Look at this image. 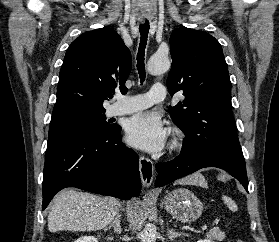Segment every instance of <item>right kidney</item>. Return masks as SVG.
<instances>
[{
	"label": "right kidney",
	"mask_w": 279,
	"mask_h": 242,
	"mask_svg": "<svg viewBox=\"0 0 279 242\" xmlns=\"http://www.w3.org/2000/svg\"><path fill=\"white\" fill-rule=\"evenodd\" d=\"M74 242H98V239L95 236H82Z\"/></svg>",
	"instance_id": "1"
}]
</instances>
